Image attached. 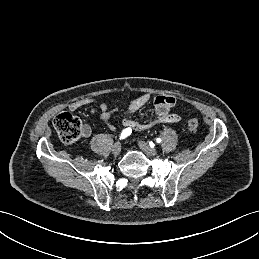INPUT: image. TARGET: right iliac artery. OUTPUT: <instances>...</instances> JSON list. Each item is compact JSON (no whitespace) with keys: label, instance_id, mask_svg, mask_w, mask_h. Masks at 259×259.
Segmentation results:
<instances>
[{"label":"right iliac artery","instance_id":"obj_1","mask_svg":"<svg viewBox=\"0 0 259 259\" xmlns=\"http://www.w3.org/2000/svg\"><path fill=\"white\" fill-rule=\"evenodd\" d=\"M132 130L130 128H126L121 132L120 139H125L131 134Z\"/></svg>","mask_w":259,"mask_h":259}]
</instances>
